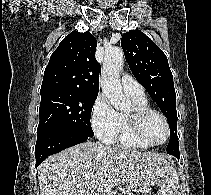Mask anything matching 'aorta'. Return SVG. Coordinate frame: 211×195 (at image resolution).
<instances>
[{"label":"aorta","mask_w":211,"mask_h":195,"mask_svg":"<svg viewBox=\"0 0 211 195\" xmlns=\"http://www.w3.org/2000/svg\"><path fill=\"white\" fill-rule=\"evenodd\" d=\"M124 64V54L120 48H111L106 51L101 70V88L103 94L109 99L118 111H126L132 107L125 97L120 83V71Z\"/></svg>","instance_id":"aorta-1"}]
</instances>
